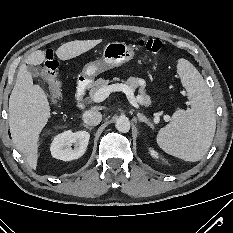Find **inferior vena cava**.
<instances>
[{"label":"inferior vena cava","mask_w":233,"mask_h":233,"mask_svg":"<svg viewBox=\"0 0 233 233\" xmlns=\"http://www.w3.org/2000/svg\"><path fill=\"white\" fill-rule=\"evenodd\" d=\"M82 119L86 125L96 126L102 120V114L96 110H88L83 113Z\"/></svg>","instance_id":"inferior-vena-cava-1"}]
</instances>
